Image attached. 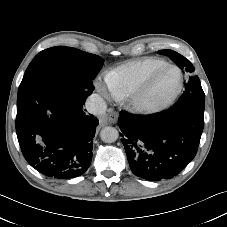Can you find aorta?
Wrapping results in <instances>:
<instances>
[{
    "label": "aorta",
    "mask_w": 227,
    "mask_h": 227,
    "mask_svg": "<svg viewBox=\"0 0 227 227\" xmlns=\"http://www.w3.org/2000/svg\"><path fill=\"white\" fill-rule=\"evenodd\" d=\"M101 140L105 143H113L119 137V132L116 128L107 126L104 127L100 132Z\"/></svg>",
    "instance_id": "1"
}]
</instances>
